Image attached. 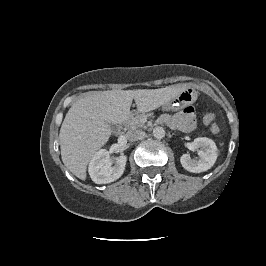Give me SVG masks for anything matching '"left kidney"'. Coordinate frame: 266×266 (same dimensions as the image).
I'll return each instance as SVG.
<instances>
[{"label":"left kidney","instance_id":"1","mask_svg":"<svg viewBox=\"0 0 266 266\" xmlns=\"http://www.w3.org/2000/svg\"><path fill=\"white\" fill-rule=\"evenodd\" d=\"M197 149L199 159L192 160L189 154H184L180 162L184 169L192 173H200L210 169L216 162L218 149L215 142L206 137H198L193 141Z\"/></svg>","mask_w":266,"mask_h":266}]
</instances>
